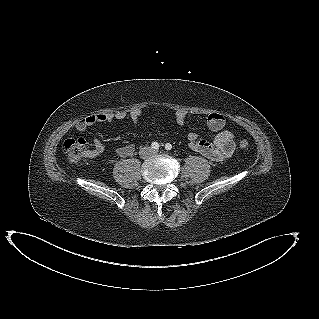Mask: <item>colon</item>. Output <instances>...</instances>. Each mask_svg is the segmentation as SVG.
<instances>
[{
	"label": "colon",
	"mask_w": 319,
	"mask_h": 319,
	"mask_svg": "<svg viewBox=\"0 0 319 319\" xmlns=\"http://www.w3.org/2000/svg\"><path fill=\"white\" fill-rule=\"evenodd\" d=\"M238 145L245 151H249L251 149L250 142L245 138L239 139ZM63 151L67 160L72 164L82 163L91 156L89 144L83 138H70L65 140L63 144Z\"/></svg>",
	"instance_id": "1"
}]
</instances>
